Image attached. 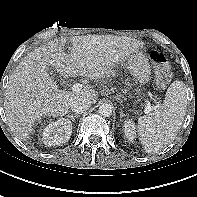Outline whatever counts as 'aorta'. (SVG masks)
<instances>
[{"label":"aorta","instance_id":"aorta-1","mask_svg":"<svg viewBox=\"0 0 197 197\" xmlns=\"http://www.w3.org/2000/svg\"><path fill=\"white\" fill-rule=\"evenodd\" d=\"M98 112L103 117H110L113 113V106L111 103H102L99 106Z\"/></svg>","mask_w":197,"mask_h":197}]
</instances>
